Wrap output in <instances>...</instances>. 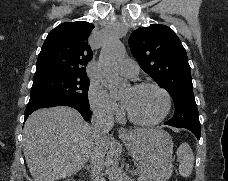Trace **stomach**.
<instances>
[{
    "instance_id": "1",
    "label": "stomach",
    "mask_w": 228,
    "mask_h": 181,
    "mask_svg": "<svg viewBox=\"0 0 228 181\" xmlns=\"http://www.w3.org/2000/svg\"><path fill=\"white\" fill-rule=\"evenodd\" d=\"M131 157L146 169V181H169L173 173V141L162 129H136L120 135Z\"/></svg>"
}]
</instances>
